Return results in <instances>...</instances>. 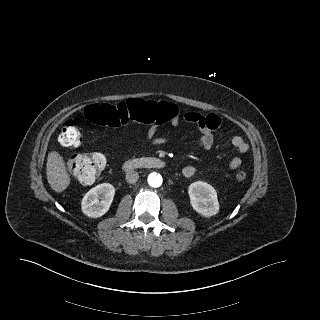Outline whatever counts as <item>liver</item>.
I'll return each mask as SVG.
<instances>
[{"mask_svg": "<svg viewBox=\"0 0 320 320\" xmlns=\"http://www.w3.org/2000/svg\"><path fill=\"white\" fill-rule=\"evenodd\" d=\"M46 171L48 183L55 192L61 193L69 186L71 178L58 152L51 151L48 154Z\"/></svg>", "mask_w": 320, "mask_h": 320, "instance_id": "liver-1", "label": "liver"}]
</instances>
